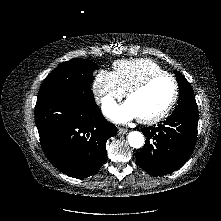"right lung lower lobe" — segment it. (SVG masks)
Instances as JSON below:
<instances>
[{
  "mask_svg": "<svg viewBox=\"0 0 221 221\" xmlns=\"http://www.w3.org/2000/svg\"><path fill=\"white\" fill-rule=\"evenodd\" d=\"M35 121L48 160L75 178L89 177L102 166L106 142L117 133L89 86L38 95Z\"/></svg>",
  "mask_w": 221,
  "mask_h": 221,
  "instance_id": "right-lung-lower-lobe-1",
  "label": "right lung lower lobe"
}]
</instances>
